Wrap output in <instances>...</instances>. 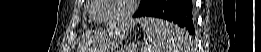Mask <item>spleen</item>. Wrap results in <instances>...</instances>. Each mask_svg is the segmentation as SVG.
<instances>
[{
    "mask_svg": "<svg viewBox=\"0 0 261 52\" xmlns=\"http://www.w3.org/2000/svg\"><path fill=\"white\" fill-rule=\"evenodd\" d=\"M145 46L143 52H190L191 38L184 29L161 19L144 18ZM171 35V36H170Z\"/></svg>",
    "mask_w": 261,
    "mask_h": 52,
    "instance_id": "spleen-1",
    "label": "spleen"
}]
</instances>
